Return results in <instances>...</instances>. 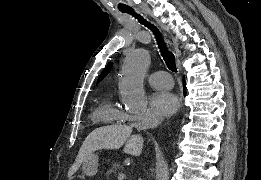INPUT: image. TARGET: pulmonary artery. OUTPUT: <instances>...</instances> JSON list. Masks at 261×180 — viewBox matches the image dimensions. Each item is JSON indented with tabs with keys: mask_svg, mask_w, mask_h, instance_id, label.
<instances>
[{
	"mask_svg": "<svg viewBox=\"0 0 261 180\" xmlns=\"http://www.w3.org/2000/svg\"><path fill=\"white\" fill-rule=\"evenodd\" d=\"M148 82L160 88H169L172 83L171 75L165 71H157L147 76Z\"/></svg>",
	"mask_w": 261,
	"mask_h": 180,
	"instance_id": "obj_1",
	"label": "pulmonary artery"
}]
</instances>
